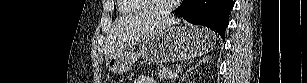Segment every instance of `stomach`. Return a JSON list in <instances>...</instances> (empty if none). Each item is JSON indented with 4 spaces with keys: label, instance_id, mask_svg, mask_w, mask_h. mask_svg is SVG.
<instances>
[{
    "label": "stomach",
    "instance_id": "0dacf381",
    "mask_svg": "<svg viewBox=\"0 0 307 83\" xmlns=\"http://www.w3.org/2000/svg\"><path fill=\"white\" fill-rule=\"evenodd\" d=\"M215 41V34L205 28L172 26L145 39L140 52L118 51L109 54L105 58L106 66L115 74H123L140 56L156 64L188 60L207 53Z\"/></svg>",
    "mask_w": 307,
    "mask_h": 83
}]
</instances>
